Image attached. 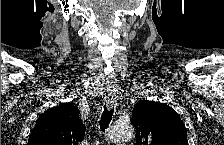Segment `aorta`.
Masks as SVG:
<instances>
[{"label":"aorta","instance_id":"762f6f07","mask_svg":"<svg viewBox=\"0 0 224 145\" xmlns=\"http://www.w3.org/2000/svg\"><path fill=\"white\" fill-rule=\"evenodd\" d=\"M134 136V129L128 123H116L108 130L107 138L111 142L129 141Z\"/></svg>","mask_w":224,"mask_h":145}]
</instances>
